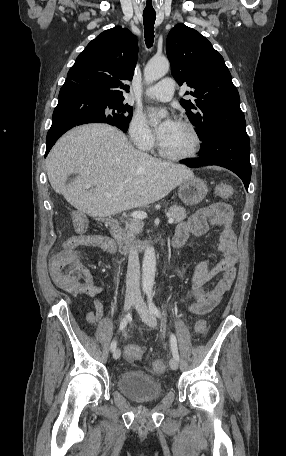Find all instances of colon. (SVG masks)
<instances>
[{
  "instance_id": "colon-1",
  "label": "colon",
  "mask_w": 286,
  "mask_h": 456,
  "mask_svg": "<svg viewBox=\"0 0 286 456\" xmlns=\"http://www.w3.org/2000/svg\"><path fill=\"white\" fill-rule=\"evenodd\" d=\"M216 194L221 197H229L234 193L233 187L227 184L216 186ZM74 228L77 232H84L87 229V221L83 216H76L73 220ZM53 279L56 284L68 291L77 290L84 282L87 271L81 266L79 257L73 248L65 245L64 249L54 256L51 261ZM208 325L205 320H199L194 325V330L198 335H204ZM143 357V349L136 347L126 352V358L129 362H136ZM166 369L162 360L153 362V370L156 374H162Z\"/></svg>"
}]
</instances>
